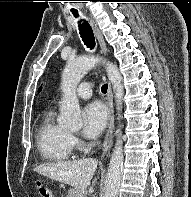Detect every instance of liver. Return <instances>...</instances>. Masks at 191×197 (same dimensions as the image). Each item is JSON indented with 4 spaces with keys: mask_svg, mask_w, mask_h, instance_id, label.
I'll list each match as a JSON object with an SVG mask.
<instances>
[{
    "mask_svg": "<svg viewBox=\"0 0 191 197\" xmlns=\"http://www.w3.org/2000/svg\"><path fill=\"white\" fill-rule=\"evenodd\" d=\"M97 160L92 158L60 161L36 167L34 170L39 174L47 176L53 180L63 182L85 193L87 186L93 178L97 168ZM96 178L92 183L95 185Z\"/></svg>",
    "mask_w": 191,
    "mask_h": 197,
    "instance_id": "6515ba94",
    "label": "liver"
}]
</instances>
